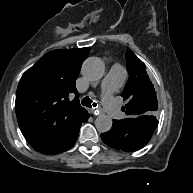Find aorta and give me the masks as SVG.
<instances>
[{
  "label": "aorta",
  "mask_w": 193,
  "mask_h": 193,
  "mask_svg": "<svg viewBox=\"0 0 193 193\" xmlns=\"http://www.w3.org/2000/svg\"><path fill=\"white\" fill-rule=\"evenodd\" d=\"M105 66L101 59L96 57L88 58L82 67L83 75L91 80H99L104 75ZM112 119L105 115L101 114L95 119V127L96 129L101 132H107L112 127Z\"/></svg>",
  "instance_id": "762f6f07"
}]
</instances>
